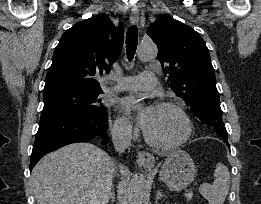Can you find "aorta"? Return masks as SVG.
Masks as SVG:
<instances>
[{
    "label": "aorta",
    "mask_w": 261,
    "mask_h": 204,
    "mask_svg": "<svg viewBox=\"0 0 261 204\" xmlns=\"http://www.w3.org/2000/svg\"><path fill=\"white\" fill-rule=\"evenodd\" d=\"M158 50L154 43H142L137 49L138 58L147 61L157 56ZM146 189V178L143 174H135L128 190L129 204H142Z\"/></svg>",
    "instance_id": "obj_1"
}]
</instances>
